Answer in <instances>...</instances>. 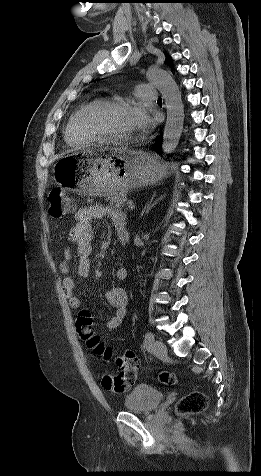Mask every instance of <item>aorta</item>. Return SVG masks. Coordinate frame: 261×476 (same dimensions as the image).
Masks as SVG:
<instances>
[{
    "mask_svg": "<svg viewBox=\"0 0 261 476\" xmlns=\"http://www.w3.org/2000/svg\"><path fill=\"white\" fill-rule=\"evenodd\" d=\"M147 78L162 94L167 109V120L163 133L162 149L172 153L179 143L184 123V106L181 92L175 80L166 71L153 68Z\"/></svg>",
    "mask_w": 261,
    "mask_h": 476,
    "instance_id": "1",
    "label": "aorta"
}]
</instances>
